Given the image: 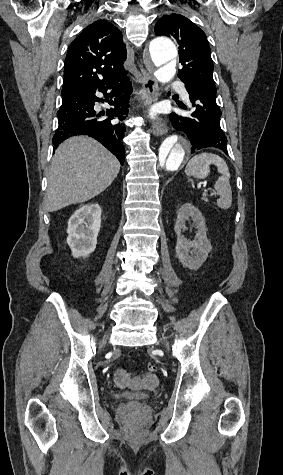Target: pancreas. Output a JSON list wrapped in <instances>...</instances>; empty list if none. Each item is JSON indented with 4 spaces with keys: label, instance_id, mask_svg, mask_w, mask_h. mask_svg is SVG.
I'll list each match as a JSON object with an SVG mask.
<instances>
[{
    "label": "pancreas",
    "instance_id": "obj_1",
    "mask_svg": "<svg viewBox=\"0 0 283 475\" xmlns=\"http://www.w3.org/2000/svg\"><path fill=\"white\" fill-rule=\"evenodd\" d=\"M201 200H204V202H208V198H206V196H203V198H201Z\"/></svg>",
    "mask_w": 283,
    "mask_h": 475
}]
</instances>
